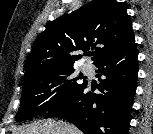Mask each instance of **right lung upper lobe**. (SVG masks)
I'll use <instances>...</instances> for the list:
<instances>
[{
    "label": "right lung upper lobe",
    "instance_id": "obj_1",
    "mask_svg": "<svg viewBox=\"0 0 153 134\" xmlns=\"http://www.w3.org/2000/svg\"><path fill=\"white\" fill-rule=\"evenodd\" d=\"M135 42L126 9L116 0H97L51 21L33 44L27 59L25 78L60 67L73 66L85 53L96 47L92 58L96 65L107 55Z\"/></svg>",
    "mask_w": 153,
    "mask_h": 134
}]
</instances>
